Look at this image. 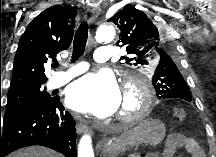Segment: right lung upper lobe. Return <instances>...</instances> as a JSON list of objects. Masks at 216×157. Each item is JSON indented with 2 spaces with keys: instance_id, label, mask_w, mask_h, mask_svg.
<instances>
[{
  "instance_id": "right-lung-upper-lobe-1",
  "label": "right lung upper lobe",
  "mask_w": 216,
  "mask_h": 157,
  "mask_svg": "<svg viewBox=\"0 0 216 157\" xmlns=\"http://www.w3.org/2000/svg\"><path fill=\"white\" fill-rule=\"evenodd\" d=\"M75 15L73 7L55 5L28 25L19 40L9 92L46 83L44 65L70 46L73 25L68 22Z\"/></svg>"
}]
</instances>
